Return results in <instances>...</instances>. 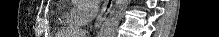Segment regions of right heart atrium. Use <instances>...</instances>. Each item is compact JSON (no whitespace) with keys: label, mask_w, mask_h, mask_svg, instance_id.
<instances>
[{"label":"right heart atrium","mask_w":219,"mask_h":37,"mask_svg":"<svg viewBox=\"0 0 219 37\" xmlns=\"http://www.w3.org/2000/svg\"><path fill=\"white\" fill-rule=\"evenodd\" d=\"M71 18L78 24L90 21L96 14L97 3L92 0H74Z\"/></svg>","instance_id":"1"}]
</instances>
